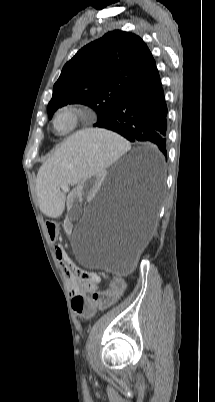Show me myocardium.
Segmentation results:
<instances>
[{"label": "myocardium", "mask_w": 215, "mask_h": 402, "mask_svg": "<svg viewBox=\"0 0 215 402\" xmlns=\"http://www.w3.org/2000/svg\"><path fill=\"white\" fill-rule=\"evenodd\" d=\"M61 118L68 119V125L65 129H59L57 124ZM86 118V111L74 104H67L58 108L51 119V127L55 134L59 136H68L77 131Z\"/></svg>", "instance_id": "obj_1"}]
</instances>
